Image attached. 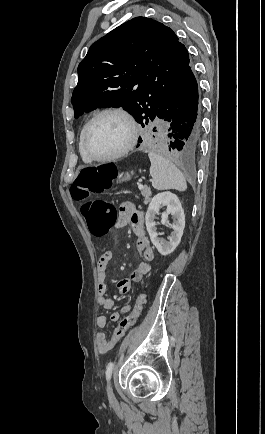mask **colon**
Listing matches in <instances>:
<instances>
[{"label":"colon","mask_w":265,"mask_h":434,"mask_svg":"<svg viewBox=\"0 0 265 434\" xmlns=\"http://www.w3.org/2000/svg\"><path fill=\"white\" fill-rule=\"evenodd\" d=\"M114 178L113 164H85L84 168L79 169L76 180L72 181L69 190L70 193H93L94 189H105V181H114ZM80 200L86 201L87 195L81 194ZM80 211L89 231L96 237L105 236L118 219V211L115 205L101 198H93L82 203ZM143 301V295H139L137 304L141 305ZM139 314V310L132 311L120 322L111 339L110 351L113 344L119 342L128 328L135 325Z\"/></svg>","instance_id":"obj_1"}]
</instances>
